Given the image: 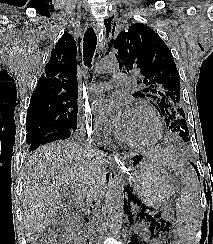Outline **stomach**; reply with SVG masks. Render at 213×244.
I'll use <instances>...</instances> for the list:
<instances>
[{
    "instance_id": "obj_1",
    "label": "stomach",
    "mask_w": 213,
    "mask_h": 244,
    "mask_svg": "<svg viewBox=\"0 0 213 244\" xmlns=\"http://www.w3.org/2000/svg\"><path fill=\"white\" fill-rule=\"evenodd\" d=\"M148 154H155V149H138V153L130 157L126 177L148 207H166L178 193L179 184L165 170L164 162Z\"/></svg>"
}]
</instances>
